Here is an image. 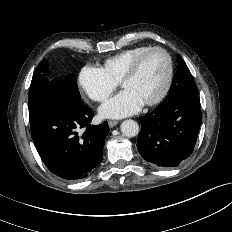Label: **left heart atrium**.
Instances as JSON below:
<instances>
[{"instance_id": "1", "label": "left heart atrium", "mask_w": 232, "mask_h": 232, "mask_svg": "<svg viewBox=\"0 0 232 232\" xmlns=\"http://www.w3.org/2000/svg\"><path fill=\"white\" fill-rule=\"evenodd\" d=\"M144 102L129 90H123L120 94L104 103L100 109V115L104 118H123L138 112Z\"/></svg>"}]
</instances>
